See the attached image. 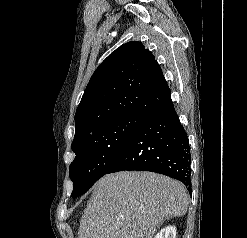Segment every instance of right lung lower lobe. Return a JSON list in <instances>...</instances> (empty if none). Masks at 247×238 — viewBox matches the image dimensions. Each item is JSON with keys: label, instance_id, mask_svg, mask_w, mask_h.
<instances>
[{"label": "right lung lower lobe", "instance_id": "obj_1", "mask_svg": "<svg viewBox=\"0 0 247 238\" xmlns=\"http://www.w3.org/2000/svg\"><path fill=\"white\" fill-rule=\"evenodd\" d=\"M122 170L164 174L191 189L190 147L172 101L144 117L106 174Z\"/></svg>", "mask_w": 247, "mask_h": 238}]
</instances>
